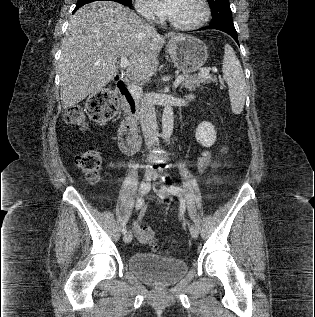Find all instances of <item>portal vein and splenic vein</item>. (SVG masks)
<instances>
[{
    "label": "portal vein and splenic vein",
    "mask_w": 315,
    "mask_h": 317,
    "mask_svg": "<svg viewBox=\"0 0 315 317\" xmlns=\"http://www.w3.org/2000/svg\"><path fill=\"white\" fill-rule=\"evenodd\" d=\"M129 65V61L126 57H123L121 60H120V67L122 69H126ZM215 70V69H213ZM209 74V70L208 69H205V70H202L201 72L198 73V77H204V76H207ZM183 81V76H178L174 82V87L177 88L181 82ZM128 89L130 91V93L136 97V98H140L141 95H142V89L135 85V84H129L128 85Z\"/></svg>",
    "instance_id": "obj_1"
}]
</instances>
